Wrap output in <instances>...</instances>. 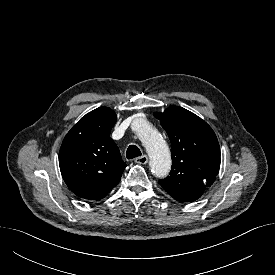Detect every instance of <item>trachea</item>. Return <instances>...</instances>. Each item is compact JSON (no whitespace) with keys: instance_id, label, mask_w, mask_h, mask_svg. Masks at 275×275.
Listing matches in <instances>:
<instances>
[{"instance_id":"trachea-1","label":"trachea","mask_w":275,"mask_h":275,"mask_svg":"<svg viewBox=\"0 0 275 275\" xmlns=\"http://www.w3.org/2000/svg\"><path fill=\"white\" fill-rule=\"evenodd\" d=\"M138 156H141L140 149L135 145H130L126 151V157L127 159H133Z\"/></svg>"}]
</instances>
